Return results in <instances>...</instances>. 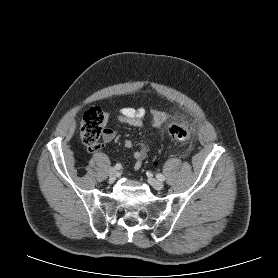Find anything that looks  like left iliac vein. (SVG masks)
Here are the masks:
<instances>
[{"instance_id":"4c4485c4","label":"left iliac vein","mask_w":278,"mask_h":278,"mask_svg":"<svg viewBox=\"0 0 278 278\" xmlns=\"http://www.w3.org/2000/svg\"><path fill=\"white\" fill-rule=\"evenodd\" d=\"M149 184L156 190H161L163 188V183L155 178L148 179Z\"/></svg>"}]
</instances>
